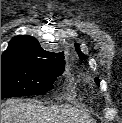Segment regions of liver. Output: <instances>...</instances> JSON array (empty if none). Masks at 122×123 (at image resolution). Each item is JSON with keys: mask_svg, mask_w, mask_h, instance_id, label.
Segmentation results:
<instances>
[{"mask_svg": "<svg viewBox=\"0 0 122 123\" xmlns=\"http://www.w3.org/2000/svg\"><path fill=\"white\" fill-rule=\"evenodd\" d=\"M1 123H95L72 106L45 107L36 100H8L1 104Z\"/></svg>", "mask_w": 122, "mask_h": 123, "instance_id": "obj_1", "label": "liver"}]
</instances>
